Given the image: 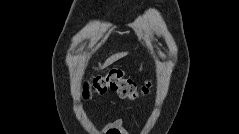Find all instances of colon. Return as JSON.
I'll use <instances>...</instances> for the list:
<instances>
[{
    "label": "colon",
    "instance_id": "1",
    "mask_svg": "<svg viewBox=\"0 0 239 134\" xmlns=\"http://www.w3.org/2000/svg\"><path fill=\"white\" fill-rule=\"evenodd\" d=\"M150 87L151 85L146 83L139 90L133 79L125 77L121 70L114 69L107 74L95 76L90 81L85 82L83 97L88 98L91 94L103 95L112 91L121 98L135 100L140 94L148 93Z\"/></svg>",
    "mask_w": 239,
    "mask_h": 134
}]
</instances>
